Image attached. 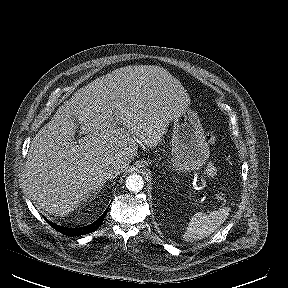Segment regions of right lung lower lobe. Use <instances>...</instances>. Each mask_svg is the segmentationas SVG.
I'll return each mask as SVG.
<instances>
[{"label": "right lung lower lobe", "instance_id": "right-lung-lower-lobe-1", "mask_svg": "<svg viewBox=\"0 0 288 288\" xmlns=\"http://www.w3.org/2000/svg\"><path fill=\"white\" fill-rule=\"evenodd\" d=\"M106 214H107V210L94 223H92V224H90L88 226H85V227H80V228H66V227H62V226L56 225L54 223H51L47 219H46V221L54 229H56L57 231L65 234L67 236H80V235H85V234H88V233L96 231L98 229V227L100 226V224L103 222L104 217L106 216Z\"/></svg>", "mask_w": 288, "mask_h": 288}]
</instances>
